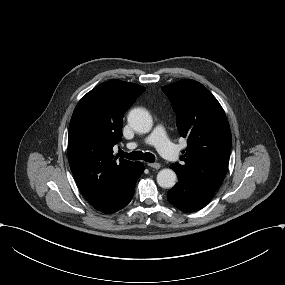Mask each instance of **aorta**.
<instances>
[{"label":"aorta","instance_id":"1","mask_svg":"<svg viewBox=\"0 0 285 285\" xmlns=\"http://www.w3.org/2000/svg\"><path fill=\"white\" fill-rule=\"evenodd\" d=\"M128 123L138 133H148L153 126L152 117L143 108H134L128 114ZM177 176L172 169H162L157 174V183L162 188H172L175 185Z\"/></svg>","mask_w":285,"mask_h":285}]
</instances>
